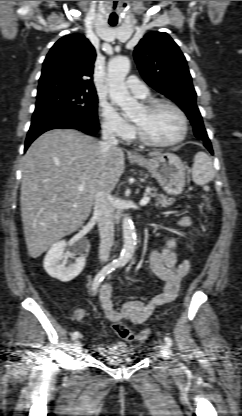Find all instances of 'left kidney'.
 Wrapping results in <instances>:
<instances>
[{
    "label": "left kidney",
    "mask_w": 242,
    "mask_h": 416,
    "mask_svg": "<svg viewBox=\"0 0 242 416\" xmlns=\"http://www.w3.org/2000/svg\"><path fill=\"white\" fill-rule=\"evenodd\" d=\"M169 245L171 246V247H174L176 244H175V241L174 240H172V241H170L169 242Z\"/></svg>",
    "instance_id": "1"
}]
</instances>
